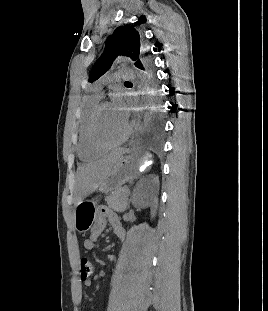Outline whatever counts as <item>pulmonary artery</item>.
<instances>
[{
    "mask_svg": "<svg viewBox=\"0 0 268 311\" xmlns=\"http://www.w3.org/2000/svg\"><path fill=\"white\" fill-rule=\"evenodd\" d=\"M133 76V71L130 69H121L118 70L116 72H114L111 76L110 79L113 81H121V80H125V79H129ZM92 91L94 93V96L100 97V91H101V84L100 83H96L93 88Z\"/></svg>",
    "mask_w": 268,
    "mask_h": 311,
    "instance_id": "e3ab8cb5",
    "label": "pulmonary artery"
}]
</instances>
